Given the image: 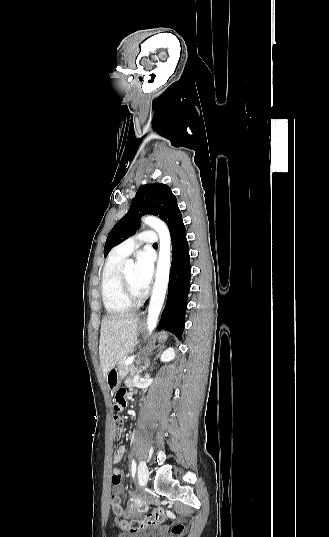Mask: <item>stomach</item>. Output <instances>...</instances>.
<instances>
[{
    "label": "stomach",
    "mask_w": 329,
    "mask_h": 537,
    "mask_svg": "<svg viewBox=\"0 0 329 537\" xmlns=\"http://www.w3.org/2000/svg\"><path fill=\"white\" fill-rule=\"evenodd\" d=\"M163 335V333H162ZM106 381H107V384H108V387L111 389V390H114L118 387L119 383H120V377H119V374L117 372V368L114 367L113 369H111L108 374L106 375Z\"/></svg>",
    "instance_id": "stomach-1"
}]
</instances>
